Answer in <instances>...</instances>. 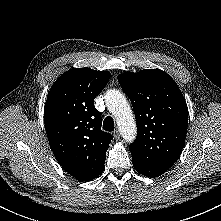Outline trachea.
<instances>
[{
	"label": "trachea",
	"instance_id": "1",
	"mask_svg": "<svg viewBox=\"0 0 221 221\" xmlns=\"http://www.w3.org/2000/svg\"><path fill=\"white\" fill-rule=\"evenodd\" d=\"M114 128H115V125H114L113 118L110 116H107L103 122V129L108 132H112V131H114Z\"/></svg>",
	"mask_w": 221,
	"mask_h": 221
}]
</instances>
